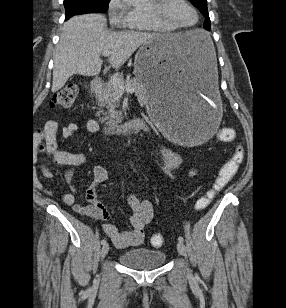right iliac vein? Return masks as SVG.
I'll list each match as a JSON object with an SVG mask.
<instances>
[{
	"instance_id": "63e3f726",
	"label": "right iliac vein",
	"mask_w": 286,
	"mask_h": 308,
	"mask_svg": "<svg viewBox=\"0 0 286 308\" xmlns=\"http://www.w3.org/2000/svg\"><path fill=\"white\" fill-rule=\"evenodd\" d=\"M109 252V244H104L101 249V256L105 257Z\"/></svg>"
}]
</instances>
